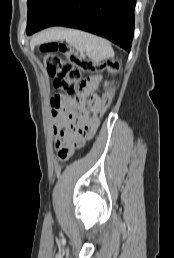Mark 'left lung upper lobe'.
<instances>
[{
	"instance_id": "1",
	"label": "left lung upper lobe",
	"mask_w": 174,
	"mask_h": 258,
	"mask_svg": "<svg viewBox=\"0 0 174 258\" xmlns=\"http://www.w3.org/2000/svg\"><path fill=\"white\" fill-rule=\"evenodd\" d=\"M59 0H28V17L26 33L32 34L43 22Z\"/></svg>"
}]
</instances>
